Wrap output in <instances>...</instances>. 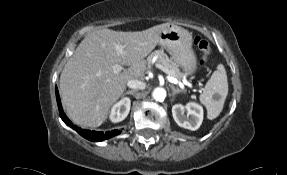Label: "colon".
Here are the masks:
<instances>
[{
    "instance_id": "colon-1",
    "label": "colon",
    "mask_w": 287,
    "mask_h": 175,
    "mask_svg": "<svg viewBox=\"0 0 287 175\" xmlns=\"http://www.w3.org/2000/svg\"><path fill=\"white\" fill-rule=\"evenodd\" d=\"M194 45L201 52L202 57L200 60V64L204 65L207 62L210 56V53H211L210 45L206 39L199 37V36H197L194 39Z\"/></svg>"
}]
</instances>
